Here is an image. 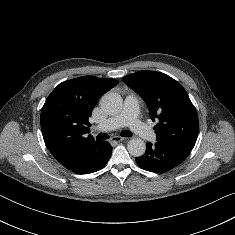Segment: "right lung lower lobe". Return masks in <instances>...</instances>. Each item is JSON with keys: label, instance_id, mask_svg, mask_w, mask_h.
<instances>
[{"label": "right lung lower lobe", "instance_id": "98d812e1", "mask_svg": "<svg viewBox=\"0 0 235 235\" xmlns=\"http://www.w3.org/2000/svg\"><path fill=\"white\" fill-rule=\"evenodd\" d=\"M112 154V147L107 141L90 145L81 159L70 170L78 174H89L102 169Z\"/></svg>", "mask_w": 235, "mask_h": 235}]
</instances>
